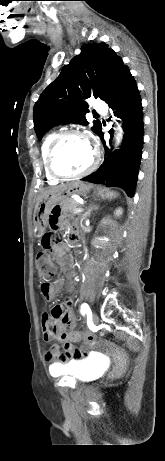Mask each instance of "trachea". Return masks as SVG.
<instances>
[{
    "label": "trachea",
    "mask_w": 165,
    "mask_h": 461,
    "mask_svg": "<svg viewBox=\"0 0 165 461\" xmlns=\"http://www.w3.org/2000/svg\"><path fill=\"white\" fill-rule=\"evenodd\" d=\"M93 115H94V116H98V114H97V113H94Z\"/></svg>",
    "instance_id": "3493384b"
}]
</instances>
